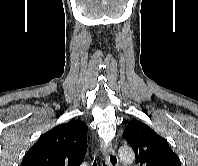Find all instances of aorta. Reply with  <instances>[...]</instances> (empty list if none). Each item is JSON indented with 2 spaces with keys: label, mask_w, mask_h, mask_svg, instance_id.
I'll list each match as a JSON object with an SVG mask.
<instances>
[{
  "label": "aorta",
  "mask_w": 198,
  "mask_h": 166,
  "mask_svg": "<svg viewBox=\"0 0 198 166\" xmlns=\"http://www.w3.org/2000/svg\"><path fill=\"white\" fill-rule=\"evenodd\" d=\"M120 161L125 165L131 164L135 159L134 151L129 146H122L118 150Z\"/></svg>",
  "instance_id": "1"
}]
</instances>
